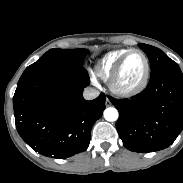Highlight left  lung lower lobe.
<instances>
[{
    "mask_svg": "<svg viewBox=\"0 0 183 183\" xmlns=\"http://www.w3.org/2000/svg\"><path fill=\"white\" fill-rule=\"evenodd\" d=\"M109 99L119 111V137L130 151L163 150L183 129V74L179 66L151 76L146 89L135 98Z\"/></svg>",
    "mask_w": 183,
    "mask_h": 183,
    "instance_id": "obj_1",
    "label": "left lung lower lobe"
}]
</instances>
